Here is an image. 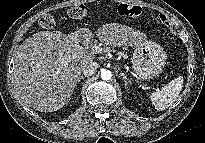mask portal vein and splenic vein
Here are the masks:
<instances>
[{"mask_svg":"<svg viewBox=\"0 0 205 143\" xmlns=\"http://www.w3.org/2000/svg\"><path fill=\"white\" fill-rule=\"evenodd\" d=\"M90 51H91L93 54H101V53L103 52V49L100 48L99 46L94 45V46L91 47V50H90ZM153 89L158 90L159 88H153Z\"/></svg>","mask_w":205,"mask_h":143,"instance_id":"portal-vein-and-splenic-vein-1","label":"portal vein and splenic vein"}]
</instances>
